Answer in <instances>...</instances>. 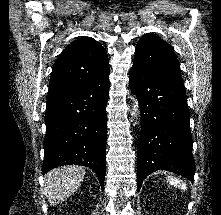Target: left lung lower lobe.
<instances>
[{"mask_svg": "<svg viewBox=\"0 0 221 215\" xmlns=\"http://www.w3.org/2000/svg\"><path fill=\"white\" fill-rule=\"evenodd\" d=\"M129 83L141 112L137 186L156 170H168L193 180L192 136L183 83L133 64Z\"/></svg>", "mask_w": 221, "mask_h": 215, "instance_id": "1", "label": "left lung lower lobe"}]
</instances>
